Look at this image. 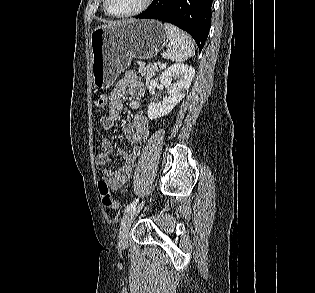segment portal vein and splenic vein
I'll return each mask as SVG.
<instances>
[{"instance_id": "obj_1", "label": "portal vein and splenic vein", "mask_w": 315, "mask_h": 293, "mask_svg": "<svg viewBox=\"0 0 315 293\" xmlns=\"http://www.w3.org/2000/svg\"><path fill=\"white\" fill-rule=\"evenodd\" d=\"M157 65H159V63L157 64V63H154V66H156L157 67ZM162 67V66H161Z\"/></svg>"}]
</instances>
